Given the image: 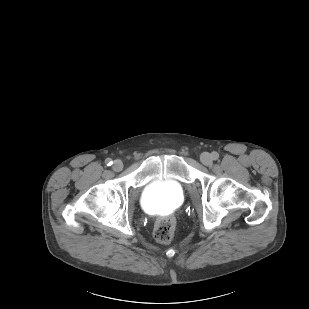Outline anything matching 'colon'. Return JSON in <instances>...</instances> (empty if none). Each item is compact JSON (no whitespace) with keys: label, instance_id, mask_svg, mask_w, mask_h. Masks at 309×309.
I'll list each match as a JSON object with an SVG mask.
<instances>
[{"label":"colon","instance_id":"colon-1","mask_svg":"<svg viewBox=\"0 0 309 309\" xmlns=\"http://www.w3.org/2000/svg\"><path fill=\"white\" fill-rule=\"evenodd\" d=\"M176 222L173 217H163L155 225L154 237L162 244L169 243L175 232Z\"/></svg>","mask_w":309,"mask_h":309}]
</instances>
